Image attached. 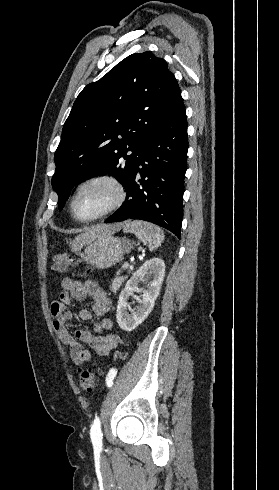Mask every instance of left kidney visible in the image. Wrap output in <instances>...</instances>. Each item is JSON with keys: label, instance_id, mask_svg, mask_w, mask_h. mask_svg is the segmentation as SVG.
Returning a JSON list of instances; mask_svg holds the SVG:
<instances>
[{"label": "left kidney", "instance_id": "left-kidney-1", "mask_svg": "<svg viewBox=\"0 0 279 490\" xmlns=\"http://www.w3.org/2000/svg\"><path fill=\"white\" fill-rule=\"evenodd\" d=\"M164 276L165 264L160 258L147 260L137 272L132 274L124 290H122L117 304L116 320L121 330L132 332L148 318L154 308L155 300L159 296ZM139 282H148L147 290L138 288ZM137 290H142L143 292L142 300L139 302L140 306L135 312H128L130 306L128 300L130 296H133V292H137Z\"/></svg>", "mask_w": 279, "mask_h": 490}]
</instances>
